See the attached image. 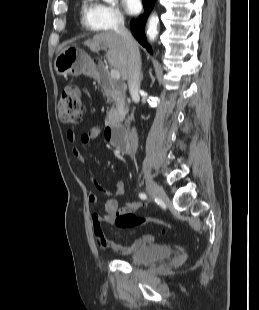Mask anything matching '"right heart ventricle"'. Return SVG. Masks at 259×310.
<instances>
[{
	"mask_svg": "<svg viewBox=\"0 0 259 310\" xmlns=\"http://www.w3.org/2000/svg\"><path fill=\"white\" fill-rule=\"evenodd\" d=\"M92 5L89 0H84L81 9V24L90 31H95L99 29L92 17Z\"/></svg>",
	"mask_w": 259,
	"mask_h": 310,
	"instance_id": "e07e8e85",
	"label": "right heart ventricle"
}]
</instances>
